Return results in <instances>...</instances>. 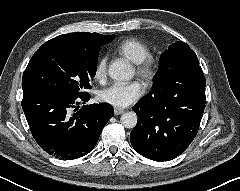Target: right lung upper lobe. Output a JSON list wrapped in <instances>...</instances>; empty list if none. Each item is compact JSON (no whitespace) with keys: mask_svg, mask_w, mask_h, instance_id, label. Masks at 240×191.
<instances>
[{"mask_svg":"<svg viewBox=\"0 0 240 191\" xmlns=\"http://www.w3.org/2000/svg\"><path fill=\"white\" fill-rule=\"evenodd\" d=\"M114 38L115 35L105 36L98 33H69L45 42L40 48L58 47L70 51L97 52L102 45L111 42Z\"/></svg>","mask_w":240,"mask_h":191,"instance_id":"right-lung-upper-lobe-1","label":"right lung upper lobe"}]
</instances>
